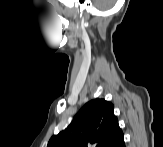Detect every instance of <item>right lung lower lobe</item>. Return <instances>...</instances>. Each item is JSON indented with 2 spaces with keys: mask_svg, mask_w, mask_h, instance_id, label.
I'll return each mask as SVG.
<instances>
[{
  "mask_svg": "<svg viewBox=\"0 0 163 147\" xmlns=\"http://www.w3.org/2000/svg\"><path fill=\"white\" fill-rule=\"evenodd\" d=\"M111 147H125L124 137L122 136L115 144Z\"/></svg>",
  "mask_w": 163,
  "mask_h": 147,
  "instance_id": "right-lung-lower-lobe-1",
  "label": "right lung lower lobe"
}]
</instances>
